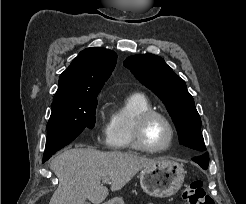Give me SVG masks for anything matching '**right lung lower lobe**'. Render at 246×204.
<instances>
[{
	"mask_svg": "<svg viewBox=\"0 0 246 204\" xmlns=\"http://www.w3.org/2000/svg\"><path fill=\"white\" fill-rule=\"evenodd\" d=\"M49 158H43V162H45L46 160H48Z\"/></svg>",
	"mask_w": 246,
	"mask_h": 204,
	"instance_id": "1",
	"label": "right lung lower lobe"
}]
</instances>
